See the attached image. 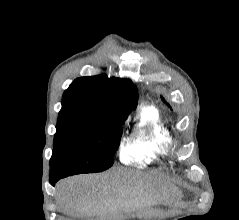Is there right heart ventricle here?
I'll return each mask as SVG.
<instances>
[{"label": "right heart ventricle", "mask_w": 239, "mask_h": 220, "mask_svg": "<svg viewBox=\"0 0 239 220\" xmlns=\"http://www.w3.org/2000/svg\"><path fill=\"white\" fill-rule=\"evenodd\" d=\"M170 139L159 110L144 107L137 115L131 136L120 148V160L126 165L150 164L165 154Z\"/></svg>", "instance_id": "1"}]
</instances>
